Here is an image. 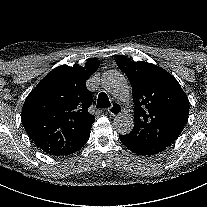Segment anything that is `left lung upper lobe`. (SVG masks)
Here are the masks:
<instances>
[{"instance_id": "5c2ea615", "label": "left lung upper lobe", "mask_w": 207, "mask_h": 207, "mask_svg": "<svg viewBox=\"0 0 207 207\" xmlns=\"http://www.w3.org/2000/svg\"><path fill=\"white\" fill-rule=\"evenodd\" d=\"M116 64L126 74L134 100L131 142L163 151L182 132L189 114V100L178 81L161 67L132 62L121 55Z\"/></svg>"}]
</instances>
